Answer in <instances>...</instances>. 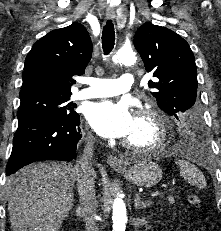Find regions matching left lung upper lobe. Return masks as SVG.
Returning <instances> with one entry per match:
<instances>
[{"mask_svg": "<svg viewBox=\"0 0 221 231\" xmlns=\"http://www.w3.org/2000/svg\"><path fill=\"white\" fill-rule=\"evenodd\" d=\"M134 45L147 72L148 85L158 106L167 114L190 116L197 110V69L189 44L172 30L146 23L134 36Z\"/></svg>", "mask_w": 221, "mask_h": 231, "instance_id": "5c2ea615", "label": "left lung upper lobe"}]
</instances>
